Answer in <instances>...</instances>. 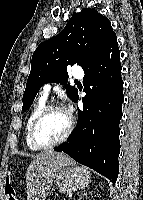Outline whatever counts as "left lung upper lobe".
<instances>
[{"label":"left lung upper lobe","instance_id":"1","mask_svg":"<svg viewBox=\"0 0 143 200\" xmlns=\"http://www.w3.org/2000/svg\"><path fill=\"white\" fill-rule=\"evenodd\" d=\"M115 37L108 18L95 9L74 14L61 33L42 42L33 53L22 110L30 107L39 89L49 82L64 85L73 100L77 89L67 84V66L80 65L85 70Z\"/></svg>","mask_w":143,"mask_h":200}]
</instances>
